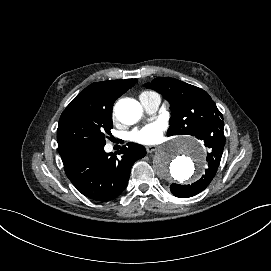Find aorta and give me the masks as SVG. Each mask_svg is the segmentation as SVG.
Masks as SVG:
<instances>
[{
  "instance_id": "aorta-1",
  "label": "aorta",
  "mask_w": 271,
  "mask_h": 271,
  "mask_svg": "<svg viewBox=\"0 0 271 271\" xmlns=\"http://www.w3.org/2000/svg\"><path fill=\"white\" fill-rule=\"evenodd\" d=\"M142 106L133 99H123L115 106L117 119L134 124L142 116ZM205 152L193 139L180 138L164 144L155 154L153 166L157 174L168 181L188 182L205 166Z\"/></svg>"
}]
</instances>
